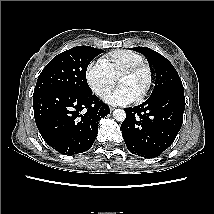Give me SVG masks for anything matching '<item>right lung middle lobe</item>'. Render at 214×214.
<instances>
[{
  "instance_id": "right-lung-middle-lobe-1",
  "label": "right lung middle lobe",
  "mask_w": 214,
  "mask_h": 214,
  "mask_svg": "<svg viewBox=\"0 0 214 214\" xmlns=\"http://www.w3.org/2000/svg\"><path fill=\"white\" fill-rule=\"evenodd\" d=\"M104 50L90 46L73 47L55 56L40 73L34 94L50 89L92 93L86 80L89 63Z\"/></svg>"
}]
</instances>
